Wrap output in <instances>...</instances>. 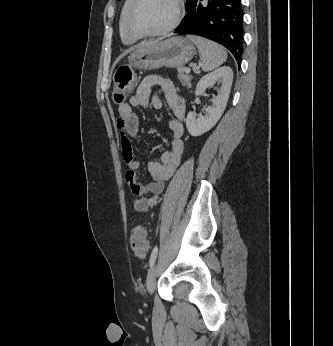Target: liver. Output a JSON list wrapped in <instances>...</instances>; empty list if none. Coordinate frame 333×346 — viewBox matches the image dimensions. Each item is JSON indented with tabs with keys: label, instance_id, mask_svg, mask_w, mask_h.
Segmentation results:
<instances>
[{
	"label": "liver",
	"instance_id": "obj_1",
	"mask_svg": "<svg viewBox=\"0 0 333 346\" xmlns=\"http://www.w3.org/2000/svg\"><path fill=\"white\" fill-rule=\"evenodd\" d=\"M157 41H158V40L151 41V42H143V43H141L138 47H142V46L147 45V44L155 43V42H157Z\"/></svg>",
	"mask_w": 333,
	"mask_h": 346
}]
</instances>
